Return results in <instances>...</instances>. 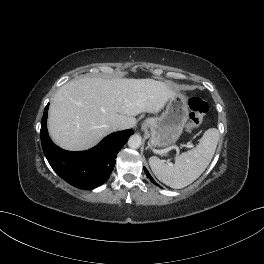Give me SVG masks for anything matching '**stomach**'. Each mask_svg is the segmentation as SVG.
Instances as JSON below:
<instances>
[{"label": "stomach", "instance_id": "0dacf381", "mask_svg": "<svg viewBox=\"0 0 264 264\" xmlns=\"http://www.w3.org/2000/svg\"><path fill=\"white\" fill-rule=\"evenodd\" d=\"M188 100L185 95L176 93L169 99L165 112L160 117L148 118L144 126L150 129V148H169L180 138L188 119Z\"/></svg>", "mask_w": 264, "mask_h": 264}]
</instances>
